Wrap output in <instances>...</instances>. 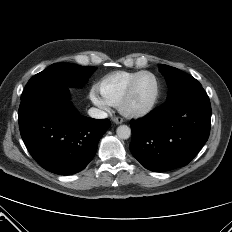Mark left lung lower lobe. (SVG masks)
I'll use <instances>...</instances> for the list:
<instances>
[{"instance_id": "left-lung-lower-lobe-1", "label": "left lung lower lobe", "mask_w": 232, "mask_h": 232, "mask_svg": "<svg viewBox=\"0 0 232 232\" xmlns=\"http://www.w3.org/2000/svg\"><path fill=\"white\" fill-rule=\"evenodd\" d=\"M210 121V100L202 86L186 90L130 122V151L151 171L185 166L208 140Z\"/></svg>"}]
</instances>
